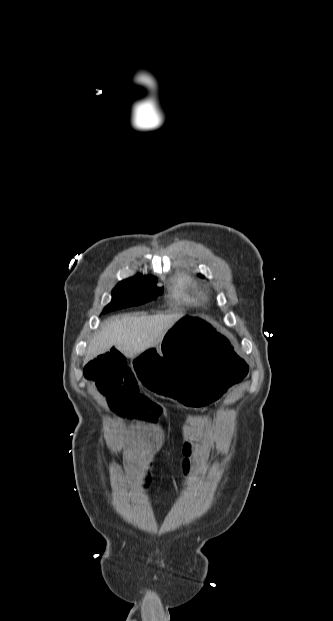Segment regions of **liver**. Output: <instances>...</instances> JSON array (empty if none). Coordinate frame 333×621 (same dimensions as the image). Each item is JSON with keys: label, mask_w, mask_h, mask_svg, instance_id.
Wrapping results in <instances>:
<instances>
[{"label": "liver", "mask_w": 333, "mask_h": 621, "mask_svg": "<svg viewBox=\"0 0 333 621\" xmlns=\"http://www.w3.org/2000/svg\"><path fill=\"white\" fill-rule=\"evenodd\" d=\"M181 314L131 316L124 314L105 320L90 339L84 364L115 346L127 358H134L157 346Z\"/></svg>", "instance_id": "6515ba94"}]
</instances>
